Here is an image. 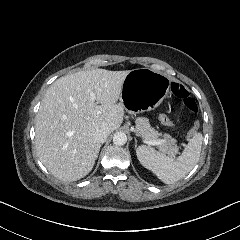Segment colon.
I'll return each mask as SVG.
<instances>
[{"label": "colon", "instance_id": "1", "mask_svg": "<svg viewBox=\"0 0 240 240\" xmlns=\"http://www.w3.org/2000/svg\"><path fill=\"white\" fill-rule=\"evenodd\" d=\"M174 90L177 92V94L179 95L180 99L183 101V103L185 104V106L187 107V109L190 112L195 113L197 110V106L196 104L188 97V94L186 92V89L183 86H175ZM158 122H163L165 123V126H168V128H173V119H170L169 115L163 114V115H158ZM190 132H186V139L190 140L191 139V135H194L195 132L198 131V124L194 123L193 126L190 127Z\"/></svg>", "mask_w": 240, "mask_h": 240}]
</instances>
